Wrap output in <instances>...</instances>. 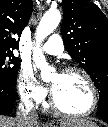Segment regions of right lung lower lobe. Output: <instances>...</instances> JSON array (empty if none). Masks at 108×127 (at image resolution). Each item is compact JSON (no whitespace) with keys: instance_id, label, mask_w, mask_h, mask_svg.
<instances>
[{"instance_id":"right-lung-lower-lobe-1","label":"right lung lower lobe","mask_w":108,"mask_h":127,"mask_svg":"<svg viewBox=\"0 0 108 127\" xmlns=\"http://www.w3.org/2000/svg\"><path fill=\"white\" fill-rule=\"evenodd\" d=\"M16 84L6 83L0 80V112L10 113L17 100Z\"/></svg>"}]
</instances>
